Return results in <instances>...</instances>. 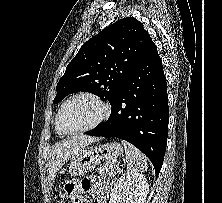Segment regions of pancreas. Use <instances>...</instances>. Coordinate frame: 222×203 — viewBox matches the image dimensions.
<instances>
[{
	"mask_svg": "<svg viewBox=\"0 0 222 203\" xmlns=\"http://www.w3.org/2000/svg\"><path fill=\"white\" fill-rule=\"evenodd\" d=\"M118 168V162L116 160L106 161L97 170L100 175H109V177H114L116 175V170Z\"/></svg>",
	"mask_w": 222,
	"mask_h": 203,
	"instance_id": "cf45deb5",
	"label": "pancreas"
}]
</instances>
